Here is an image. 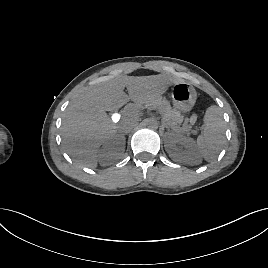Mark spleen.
<instances>
[{
    "label": "spleen",
    "mask_w": 268,
    "mask_h": 268,
    "mask_svg": "<svg viewBox=\"0 0 268 268\" xmlns=\"http://www.w3.org/2000/svg\"><path fill=\"white\" fill-rule=\"evenodd\" d=\"M225 142V121L221 109L212 105L204 116V128L198 136L196 146L206 161L214 160Z\"/></svg>",
    "instance_id": "3e777b00"
}]
</instances>
